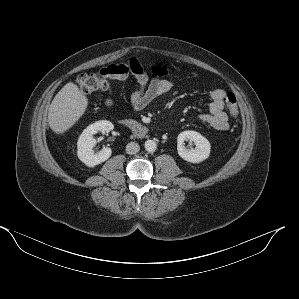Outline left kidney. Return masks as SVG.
Segmentation results:
<instances>
[{
	"label": "left kidney",
	"mask_w": 299,
	"mask_h": 299,
	"mask_svg": "<svg viewBox=\"0 0 299 299\" xmlns=\"http://www.w3.org/2000/svg\"><path fill=\"white\" fill-rule=\"evenodd\" d=\"M185 141H193L196 148L187 149L185 147ZM210 149V142L196 131H183L177 137L178 154L187 162L201 163L209 157Z\"/></svg>",
	"instance_id": "1"
}]
</instances>
